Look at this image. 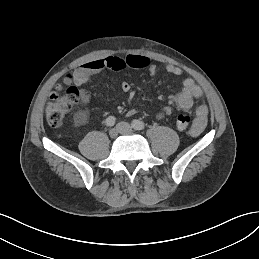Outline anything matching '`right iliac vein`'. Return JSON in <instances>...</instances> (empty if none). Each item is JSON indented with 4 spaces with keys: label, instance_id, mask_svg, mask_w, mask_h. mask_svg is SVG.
I'll return each mask as SVG.
<instances>
[{
    "label": "right iliac vein",
    "instance_id": "1",
    "mask_svg": "<svg viewBox=\"0 0 259 259\" xmlns=\"http://www.w3.org/2000/svg\"><path fill=\"white\" fill-rule=\"evenodd\" d=\"M118 133H119V131H118V129L115 127V128L110 129V131H109V136H110L111 138H116V137L118 136Z\"/></svg>",
    "mask_w": 259,
    "mask_h": 259
}]
</instances>
